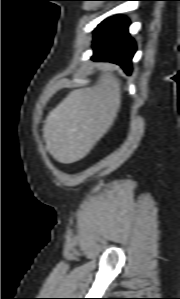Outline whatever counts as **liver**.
I'll return each instance as SVG.
<instances>
[{
    "label": "liver",
    "instance_id": "1",
    "mask_svg": "<svg viewBox=\"0 0 180 299\" xmlns=\"http://www.w3.org/2000/svg\"><path fill=\"white\" fill-rule=\"evenodd\" d=\"M98 82L71 91L48 114L43 128L46 150L63 164L83 159L112 126L121 105V83L112 64H102Z\"/></svg>",
    "mask_w": 180,
    "mask_h": 299
}]
</instances>
